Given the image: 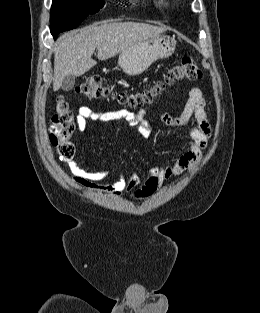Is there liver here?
<instances>
[{
	"label": "liver",
	"instance_id": "liver-1",
	"mask_svg": "<svg viewBox=\"0 0 260 313\" xmlns=\"http://www.w3.org/2000/svg\"><path fill=\"white\" fill-rule=\"evenodd\" d=\"M165 31V27L147 23L102 22L61 36L54 46L53 90L60 89L66 76H81L94 67L95 49L98 59L103 61Z\"/></svg>",
	"mask_w": 260,
	"mask_h": 313
}]
</instances>
